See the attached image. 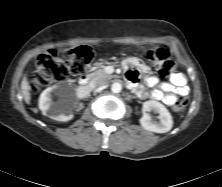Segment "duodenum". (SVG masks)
I'll return each instance as SVG.
<instances>
[{
    "label": "duodenum",
    "instance_id": "1",
    "mask_svg": "<svg viewBox=\"0 0 222 187\" xmlns=\"http://www.w3.org/2000/svg\"><path fill=\"white\" fill-rule=\"evenodd\" d=\"M79 92L83 96L88 95V93L90 92L89 76L88 75H84L81 77Z\"/></svg>",
    "mask_w": 222,
    "mask_h": 187
}]
</instances>
